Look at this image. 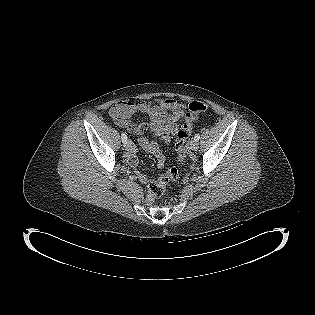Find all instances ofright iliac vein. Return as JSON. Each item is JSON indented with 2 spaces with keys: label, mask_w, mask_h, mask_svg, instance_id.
I'll list each match as a JSON object with an SVG mask.
<instances>
[{
  "label": "right iliac vein",
  "mask_w": 315,
  "mask_h": 315,
  "mask_svg": "<svg viewBox=\"0 0 315 315\" xmlns=\"http://www.w3.org/2000/svg\"><path fill=\"white\" fill-rule=\"evenodd\" d=\"M124 147L127 151H131L134 147L133 143L131 140H127L124 144Z\"/></svg>",
  "instance_id": "obj_1"
}]
</instances>
